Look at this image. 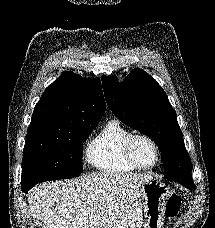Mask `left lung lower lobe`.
<instances>
[{
	"label": "left lung lower lobe",
	"mask_w": 215,
	"mask_h": 228,
	"mask_svg": "<svg viewBox=\"0 0 215 228\" xmlns=\"http://www.w3.org/2000/svg\"><path fill=\"white\" fill-rule=\"evenodd\" d=\"M168 180L178 182L190 190H196V186L194 185L192 176L185 177V178H168Z\"/></svg>",
	"instance_id": "obj_1"
}]
</instances>
